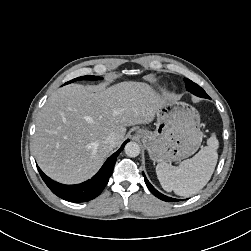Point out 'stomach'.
<instances>
[{"instance_id": "stomach-1", "label": "stomach", "mask_w": 251, "mask_h": 251, "mask_svg": "<svg viewBox=\"0 0 251 251\" xmlns=\"http://www.w3.org/2000/svg\"><path fill=\"white\" fill-rule=\"evenodd\" d=\"M156 116L155 131H137L151 160L158 163L179 161L198 150L203 134L199 113L194 107L167 97Z\"/></svg>"}]
</instances>
